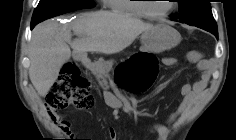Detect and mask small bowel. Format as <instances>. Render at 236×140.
Instances as JSON below:
<instances>
[{
    "instance_id": "c3829d8e",
    "label": "small bowel",
    "mask_w": 236,
    "mask_h": 140,
    "mask_svg": "<svg viewBox=\"0 0 236 140\" xmlns=\"http://www.w3.org/2000/svg\"><path fill=\"white\" fill-rule=\"evenodd\" d=\"M185 60L189 63H194L202 72L201 78L193 84H185L181 88V99L176 110L169 115L166 123L175 121L178 117L185 114L189 108L196 102L198 96L205 90L208 85L210 74L207 70V62L203 59L199 51H189L185 55ZM178 60L174 57L162 58V63L165 66H174ZM55 119L61 124L63 131L70 134V123L60 115H56ZM152 131L156 133V140H167L169 129L166 124L156 123L152 126ZM109 139L118 140L117 132L114 128L109 129Z\"/></svg>"
}]
</instances>
